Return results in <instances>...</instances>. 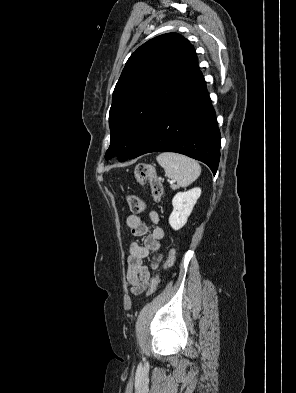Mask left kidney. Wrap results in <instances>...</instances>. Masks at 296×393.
<instances>
[{
	"label": "left kidney",
	"mask_w": 296,
	"mask_h": 393,
	"mask_svg": "<svg viewBox=\"0 0 296 393\" xmlns=\"http://www.w3.org/2000/svg\"><path fill=\"white\" fill-rule=\"evenodd\" d=\"M200 195L201 189L196 187L186 192H178L173 197V211L169 217V224L174 230H179L186 224Z\"/></svg>",
	"instance_id": "1"
}]
</instances>
